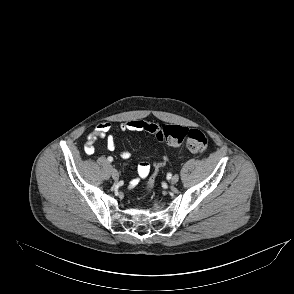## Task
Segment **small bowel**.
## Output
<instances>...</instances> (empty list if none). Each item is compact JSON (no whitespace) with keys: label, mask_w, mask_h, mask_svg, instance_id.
Masks as SVG:
<instances>
[{"label":"small bowel","mask_w":294,"mask_h":294,"mask_svg":"<svg viewBox=\"0 0 294 294\" xmlns=\"http://www.w3.org/2000/svg\"><path fill=\"white\" fill-rule=\"evenodd\" d=\"M148 123L141 120H130L121 123L120 128L122 131H147ZM111 124L107 122L99 123L94 130L88 134L87 141L84 146L85 153L92 155L95 152V142L99 139H106V144L109 150H114L116 148L115 137L110 134ZM120 156L123 159H128L130 157V152L127 149H122L120 151ZM166 159H164L165 161ZM150 172V165L146 162L140 163L138 166V177L134 178L130 182V187H134L138 184L141 179L148 176Z\"/></svg>","instance_id":"obj_1"}]
</instances>
